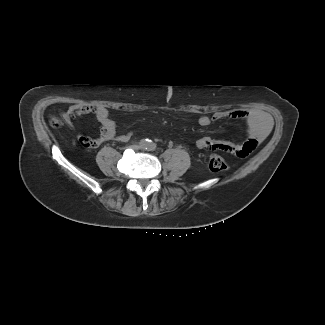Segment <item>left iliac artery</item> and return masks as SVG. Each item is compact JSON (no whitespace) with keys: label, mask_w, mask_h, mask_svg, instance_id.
<instances>
[{"label":"left iliac artery","mask_w":325,"mask_h":325,"mask_svg":"<svg viewBox=\"0 0 325 325\" xmlns=\"http://www.w3.org/2000/svg\"><path fill=\"white\" fill-rule=\"evenodd\" d=\"M156 149V144L153 142H150L148 145V150L149 151H154Z\"/></svg>","instance_id":"obj_1"}]
</instances>
